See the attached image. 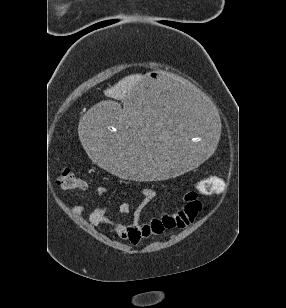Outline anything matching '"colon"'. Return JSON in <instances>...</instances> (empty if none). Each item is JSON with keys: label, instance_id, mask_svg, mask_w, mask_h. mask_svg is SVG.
<instances>
[{"label": "colon", "instance_id": "1", "mask_svg": "<svg viewBox=\"0 0 286 308\" xmlns=\"http://www.w3.org/2000/svg\"><path fill=\"white\" fill-rule=\"evenodd\" d=\"M58 185L65 190H81L86 188V182L69 168H62L58 176ZM225 182L219 177L203 179L198 184V191L202 194H212L223 191Z\"/></svg>", "mask_w": 286, "mask_h": 308}]
</instances>
